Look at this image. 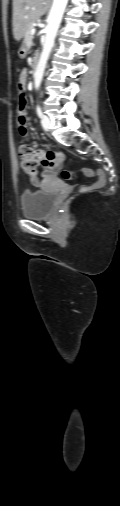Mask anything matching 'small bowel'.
I'll return each mask as SVG.
<instances>
[{"label":"small bowel","mask_w":120,"mask_h":506,"mask_svg":"<svg viewBox=\"0 0 120 506\" xmlns=\"http://www.w3.org/2000/svg\"><path fill=\"white\" fill-rule=\"evenodd\" d=\"M40 159L39 164L44 169L43 172V179L48 180L50 178H53L62 164L64 160V154L62 152L52 153L50 151H44L40 150ZM49 156H52L53 159H50ZM35 183H38L35 181Z\"/></svg>","instance_id":"c3829d8e"}]
</instances>
